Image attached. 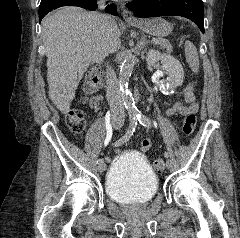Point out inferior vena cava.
Here are the masks:
<instances>
[{"instance_id":"inferior-vena-cava-1","label":"inferior vena cava","mask_w":240,"mask_h":238,"mask_svg":"<svg viewBox=\"0 0 240 238\" xmlns=\"http://www.w3.org/2000/svg\"><path fill=\"white\" fill-rule=\"evenodd\" d=\"M98 7L105 9L106 0H98ZM94 18L104 26L109 25L112 22V18L109 15L95 14ZM106 84H107V99L111 107L112 117L120 122H124L125 108L124 101L119 91V83L116 73L113 68L108 67L106 70Z\"/></svg>"}]
</instances>
